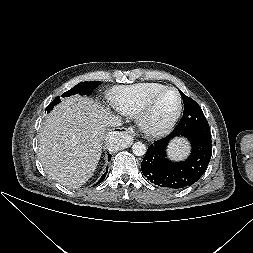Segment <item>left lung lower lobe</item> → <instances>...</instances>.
Here are the masks:
<instances>
[{"label":"left lung lower lobe","mask_w":253,"mask_h":253,"mask_svg":"<svg viewBox=\"0 0 253 253\" xmlns=\"http://www.w3.org/2000/svg\"><path fill=\"white\" fill-rule=\"evenodd\" d=\"M176 136L180 134H176L173 130L170 135L151 144L141 163L142 173L148 180L158 186L171 189H181L198 181L212 155L211 140L196 135H182L191 143V155L182 162L168 160L166 148L170 140Z\"/></svg>","instance_id":"left-lung-lower-lobe-1"}]
</instances>
